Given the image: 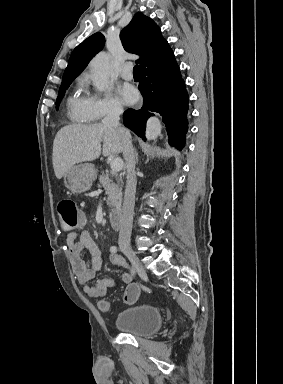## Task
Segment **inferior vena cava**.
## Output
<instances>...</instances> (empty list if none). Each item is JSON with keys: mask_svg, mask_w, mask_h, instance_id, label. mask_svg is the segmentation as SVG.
I'll use <instances>...</instances> for the list:
<instances>
[{"mask_svg": "<svg viewBox=\"0 0 283 384\" xmlns=\"http://www.w3.org/2000/svg\"><path fill=\"white\" fill-rule=\"evenodd\" d=\"M121 114H123L121 104H115V102H112V104H110L107 108L106 116L104 120H102V124L116 128L117 132H119L121 136V142L123 144V158L126 160L127 164V182L123 200V212L118 244L120 248H130L137 180L131 136L129 132H127L125 128H121V124H119V116H121Z\"/></svg>", "mask_w": 283, "mask_h": 384, "instance_id": "obj_1", "label": "inferior vena cava"}]
</instances>
